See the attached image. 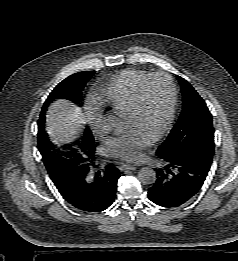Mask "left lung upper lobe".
Instances as JSON below:
<instances>
[{"label":"left lung upper lobe","mask_w":238,"mask_h":261,"mask_svg":"<svg viewBox=\"0 0 238 261\" xmlns=\"http://www.w3.org/2000/svg\"><path fill=\"white\" fill-rule=\"evenodd\" d=\"M183 96L179 119L167 139L158 148L160 158H184L200 152V158L212 162L214 129L212 116L204 100L185 79L177 76Z\"/></svg>","instance_id":"1"}]
</instances>
